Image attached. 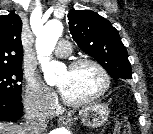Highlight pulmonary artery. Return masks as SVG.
<instances>
[{"mask_svg": "<svg viewBox=\"0 0 153 134\" xmlns=\"http://www.w3.org/2000/svg\"><path fill=\"white\" fill-rule=\"evenodd\" d=\"M71 53V44L66 40H60L55 49V54L59 57H66Z\"/></svg>", "mask_w": 153, "mask_h": 134, "instance_id": "obj_1", "label": "pulmonary artery"}]
</instances>
